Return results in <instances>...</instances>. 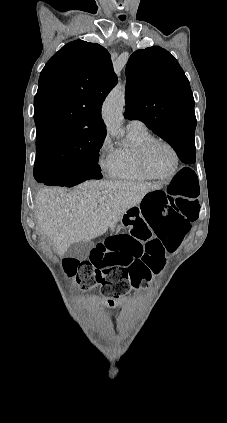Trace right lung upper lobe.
<instances>
[{"mask_svg": "<svg viewBox=\"0 0 227 423\" xmlns=\"http://www.w3.org/2000/svg\"><path fill=\"white\" fill-rule=\"evenodd\" d=\"M117 83L108 51L72 41L45 65L34 98L36 146L106 134L102 103Z\"/></svg>", "mask_w": 227, "mask_h": 423, "instance_id": "cb5924a9", "label": "right lung upper lobe"}]
</instances>
